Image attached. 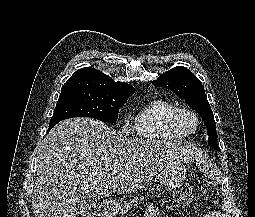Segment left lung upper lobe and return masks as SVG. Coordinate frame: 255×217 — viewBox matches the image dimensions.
Here are the masks:
<instances>
[{
    "instance_id": "obj_1",
    "label": "left lung upper lobe",
    "mask_w": 255,
    "mask_h": 217,
    "mask_svg": "<svg viewBox=\"0 0 255 217\" xmlns=\"http://www.w3.org/2000/svg\"><path fill=\"white\" fill-rule=\"evenodd\" d=\"M152 84L170 89L178 97L184 99L200 115L207 126L209 146L220 151L217 145L216 123L204 87L189 69L183 66L174 67L161 74L157 80L152 81Z\"/></svg>"
}]
</instances>
